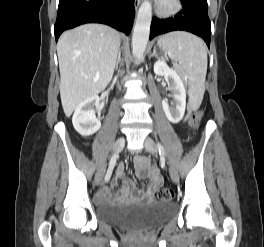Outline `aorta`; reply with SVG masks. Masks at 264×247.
<instances>
[{
    "mask_svg": "<svg viewBox=\"0 0 264 247\" xmlns=\"http://www.w3.org/2000/svg\"><path fill=\"white\" fill-rule=\"evenodd\" d=\"M151 20L152 4L150 1L144 0L137 13L132 36V54L136 58V64L144 59V52L149 40Z\"/></svg>",
    "mask_w": 264,
    "mask_h": 247,
    "instance_id": "762f6f07",
    "label": "aorta"
}]
</instances>
